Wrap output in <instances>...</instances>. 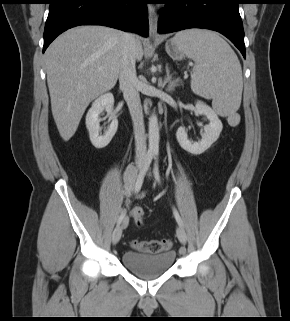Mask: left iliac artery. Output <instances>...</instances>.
Segmentation results:
<instances>
[{
    "label": "left iliac artery",
    "instance_id": "44dca946",
    "mask_svg": "<svg viewBox=\"0 0 290 321\" xmlns=\"http://www.w3.org/2000/svg\"><path fill=\"white\" fill-rule=\"evenodd\" d=\"M155 163H154V169H153V173H154V177L157 180V182L160 184L161 183V177H160V172H159V166H158V152L155 153ZM173 214L175 216V219L177 221V223L183 227V222L182 219L178 213V211L173 208Z\"/></svg>",
    "mask_w": 290,
    "mask_h": 321
}]
</instances>
